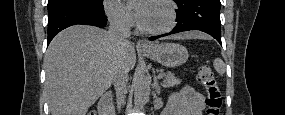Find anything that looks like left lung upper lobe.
<instances>
[{"instance_id": "5c2ea615", "label": "left lung upper lobe", "mask_w": 285, "mask_h": 115, "mask_svg": "<svg viewBox=\"0 0 285 115\" xmlns=\"http://www.w3.org/2000/svg\"><path fill=\"white\" fill-rule=\"evenodd\" d=\"M177 4L184 2L185 0H174Z\"/></svg>"}]
</instances>
